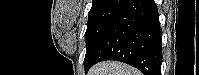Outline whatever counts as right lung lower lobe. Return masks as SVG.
Masks as SVG:
<instances>
[{
    "label": "right lung lower lobe",
    "mask_w": 199,
    "mask_h": 75,
    "mask_svg": "<svg viewBox=\"0 0 199 75\" xmlns=\"http://www.w3.org/2000/svg\"><path fill=\"white\" fill-rule=\"evenodd\" d=\"M117 60L144 75H161L162 29L154 0H128L106 28L84 66Z\"/></svg>",
    "instance_id": "right-lung-lower-lobe-1"
}]
</instances>
